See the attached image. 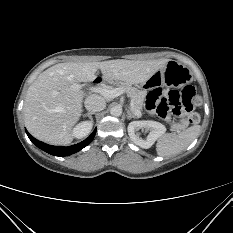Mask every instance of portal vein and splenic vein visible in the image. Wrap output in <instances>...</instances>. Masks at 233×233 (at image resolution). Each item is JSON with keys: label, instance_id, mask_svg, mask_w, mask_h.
Here are the masks:
<instances>
[{"label": "portal vein and splenic vein", "instance_id": "portal-vein-and-splenic-vein-1", "mask_svg": "<svg viewBox=\"0 0 233 233\" xmlns=\"http://www.w3.org/2000/svg\"><path fill=\"white\" fill-rule=\"evenodd\" d=\"M90 90L92 92L100 93L102 96L108 99H113L118 97L124 93L122 88H113V89H106L101 87H91ZM131 109L138 117L141 116V112L139 110L134 109L133 104L131 103Z\"/></svg>", "mask_w": 233, "mask_h": 233}]
</instances>
